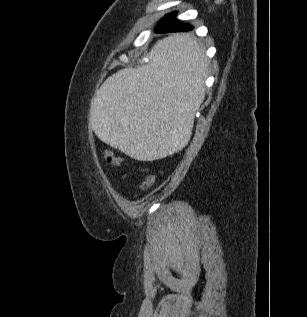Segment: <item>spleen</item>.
Wrapping results in <instances>:
<instances>
[{
  "label": "spleen",
  "instance_id": "obj_1",
  "mask_svg": "<svg viewBox=\"0 0 307 317\" xmlns=\"http://www.w3.org/2000/svg\"><path fill=\"white\" fill-rule=\"evenodd\" d=\"M204 48L200 37L175 33L153 48L148 65L109 77L92 111L98 138L134 160L178 155L204 99Z\"/></svg>",
  "mask_w": 307,
  "mask_h": 317
}]
</instances>
